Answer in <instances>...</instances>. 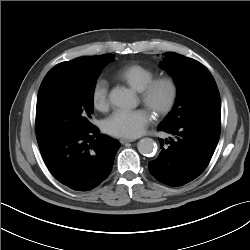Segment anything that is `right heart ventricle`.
<instances>
[{
	"label": "right heart ventricle",
	"instance_id": "right-heart-ventricle-1",
	"mask_svg": "<svg viewBox=\"0 0 250 250\" xmlns=\"http://www.w3.org/2000/svg\"><path fill=\"white\" fill-rule=\"evenodd\" d=\"M155 75L154 70L144 65L129 64L120 68L116 72L115 77L127 83L134 90L140 91Z\"/></svg>",
	"mask_w": 250,
	"mask_h": 250
}]
</instances>
